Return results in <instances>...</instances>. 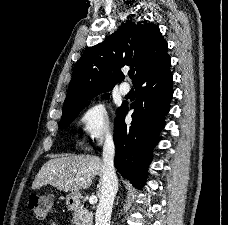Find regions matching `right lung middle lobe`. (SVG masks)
<instances>
[{
    "instance_id": "1",
    "label": "right lung middle lobe",
    "mask_w": 228,
    "mask_h": 225,
    "mask_svg": "<svg viewBox=\"0 0 228 225\" xmlns=\"http://www.w3.org/2000/svg\"><path fill=\"white\" fill-rule=\"evenodd\" d=\"M109 94H104L102 97H108ZM92 99V98H91ZM90 100V99H89ZM88 100L72 104L66 107H63L62 117L59 123L60 128H66L73 121V119L79 114V112L88 105Z\"/></svg>"
}]
</instances>
